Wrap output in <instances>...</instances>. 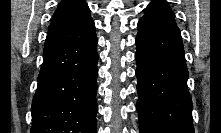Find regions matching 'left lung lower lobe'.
Listing matches in <instances>:
<instances>
[{
	"instance_id": "obj_1",
	"label": "left lung lower lobe",
	"mask_w": 221,
	"mask_h": 133,
	"mask_svg": "<svg viewBox=\"0 0 221 133\" xmlns=\"http://www.w3.org/2000/svg\"><path fill=\"white\" fill-rule=\"evenodd\" d=\"M136 37L140 133H194L188 70L179 28L140 19Z\"/></svg>"
}]
</instances>
